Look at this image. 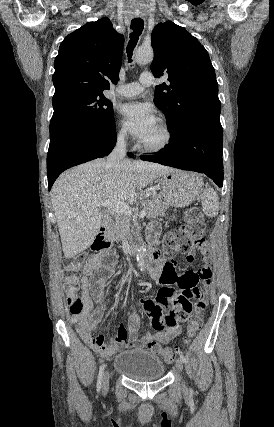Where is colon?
I'll use <instances>...</instances> for the list:
<instances>
[{
    "label": "colon",
    "instance_id": "1",
    "mask_svg": "<svg viewBox=\"0 0 274 427\" xmlns=\"http://www.w3.org/2000/svg\"><path fill=\"white\" fill-rule=\"evenodd\" d=\"M185 219V224L174 227L169 234L164 236L159 252L160 256H174L177 248H188L195 244L197 236H204L206 225L203 213L199 208H188ZM82 262L83 258L81 255H75L69 257L64 263L67 305L72 315H81L84 310L77 287L79 280L78 271ZM207 314V311H194L193 317H188L190 328L186 331V337H181V346H192L193 341L197 338L196 333L203 328L202 319L206 318ZM149 347L155 349V355L159 356L160 359H166L168 364L176 363V356L171 355L172 350L170 347H159L158 342H151Z\"/></svg>",
    "mask_w": 274,
    "mask_h": 427
}]
</instances>
